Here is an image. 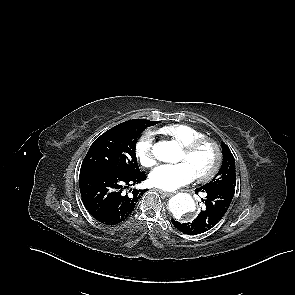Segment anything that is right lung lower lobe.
Listing matches in <instances>:
<instances>
[{"label": "right lung lower lobe", "instance_id": "98d812e1", "mask_svg": "<svg viewBox=\"0 0 295 295\" xmlns=\"http://www.w3.org/2000/svg\"><path fill=\"white\" fill-rule=\"evenodd\" d=\"M146 179L144 172H89L80 174V193L88 212L100 223L115 225L133 211L146 191L127 189Z\"/></svg>", "mask_w": 295, "mask_h": 295}]
</instances>
